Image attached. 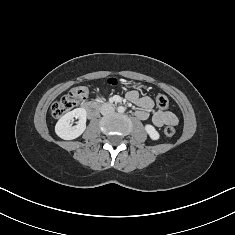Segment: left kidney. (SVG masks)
I'll return each mask as SVG.
<instances>
[{"label": "left kidney", "instance_id": "left-kidney-1", "mask_svg": "<svg viewBox=\"0 0 235 235\" xmlns=\"http://www.w3.org/2000/svg\"><path fill=\"white\" fill-rule=\"evenodd\" d=\"M145 130L152 140H158L160 138L158 131L155 129L153 125L146 124Z\"/></svg>", "mask_w": 235, "mask_h": 235}]
</instances>
